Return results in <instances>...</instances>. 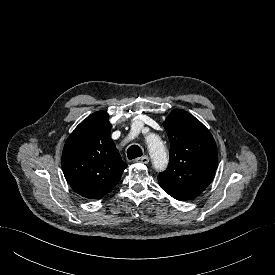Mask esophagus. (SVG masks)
Wrapping results in <instances>:
<instances>
[{"mask_svg":"<svg viewBox=\"0 0 275 275\" xmlns=\"http://www.w3.org/2000/svg\"><path fill=\"white\" fill-rule=\"evenodd\" d=\"M136 162L147 164L149 162V157L147 155L138 157L135 159Z\"/></svg>","mask_w":275,"mask_h":275,"instance_id":"obj_1","label":"esophagus"}]
</instances>
